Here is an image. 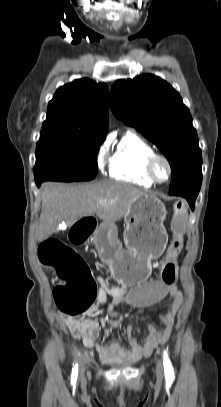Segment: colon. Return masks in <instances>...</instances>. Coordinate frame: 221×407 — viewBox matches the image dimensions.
Here are the masks:
<instances>
[{
	"label": "colon",
	"mask_w": 221,
	"mask_h": 407,
	"mask_svg": "<svg viewBox=\"0 0 221 407\" xmlns=\"http://www.w3.org/2000/svg\"><path fill=\"white\" fill-rule=\"evenodd\" d=\"M186 203L178 200L174 205L171 220L172 241L167 256L161 263L158 277H148L147 283H131L124 288L130 295L128 304L137 311H149L151 306H160L165 292H174L178 283L179 260L186 230ZM95 216H77L69 225L70 246H83L84 239H94ZM40 262L53 267L60 280L53 289L58 309L68 316L77 317L87 311L97 295V285L92 272L84 260L69 246L57 239H47L38 250Z\"/></svg>",
	"instance_id": "obj_1"
}]
</instances>
